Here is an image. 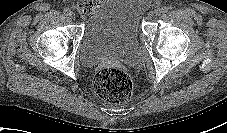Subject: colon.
<instances>
[{
    "label": "colon",
    "mask_w": 227,
    "mask_h": 133,
    "mask_svg": "<svg viewBox=\"0 0 227 133\" xmlns=\"http://www.w3.org/2000/svg\"><path fill=\"white\" fill-rule=\"evenodd\" d=\"M100 3L101 0H81L79 9L84 14H91ZM94 87L101 98L113 103L128 101L133 92L130 75L118 67L101 68L95 75Z\"/></svg>",
    "instance_id": "colon-1"
}]
</instances>
